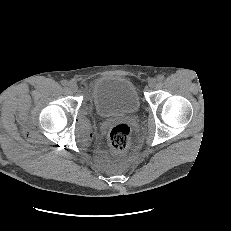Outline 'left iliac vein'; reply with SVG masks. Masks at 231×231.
I'll list each match as a JSON object with an SVG mask.
<instances>
[{
    "label": "left iliac vein",
    "instance_id": "obj_1",
    "mask_svg": "<svg viewBox=\"0 0 231 231\" xmlns=\"http://www.w3.org/2000/svg\"><path fill=\"white\" fill-rule=\"evenodd\" d=\"M156 85H157V80L155 78H152V79L149 80L148 86L150 88H154Z\"/></svg>",
    "mask_w": 231,
    "mask_h": 231
}]
</instances>
